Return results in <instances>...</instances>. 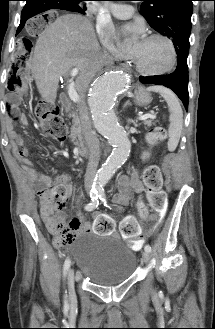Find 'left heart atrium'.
<instances>
[{
  "mask_svg": "<svg viewBox=\"0 0 215 329\" xmlns=\"http://www.w3.org/2000/svg\"><path fill=\"white\" fill-rule=\"evenodd\" d=\"M125 30L129 33L138 34L140 36V42H143L147 39L145 36L144 26L139 22L126 25Z\"/></svg>",
  "mask_w": 215,
  "mask_h": 329,
  "instance_id": "1",
  "label": "left heart atrium"
}]
</instances>
